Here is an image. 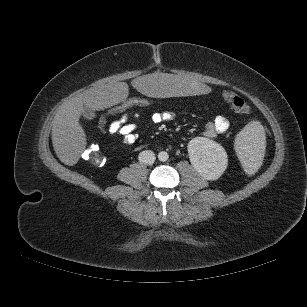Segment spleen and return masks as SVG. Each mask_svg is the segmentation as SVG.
Instances as JSON below:
<instances>
[{"mask_svg": "<svg viewBox=\"0 0 307 307\" xmlns=\"http://www.w3.org/2000/svg\"><path fill=\"white\" fill-rule=\"evenodd\" d=\"M270 141L264 137L259 122H250L233 140V148L239 156L238 168L248 178L258 175L263 168V150Z\"/></svg>", "mask_w": 307, "mask_h": 307, "instance_id": "3e777b00", "label": "spleen"}]
</instances>
